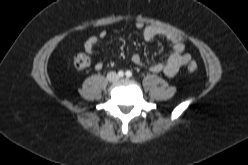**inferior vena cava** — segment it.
Masks as SVG:
<instances>
[{"instance_id": "inferior-vena-cava-1", "label": "inferior vena cava", "mask_w": 248, "mask_h": 165, "mask_svg": "<svg viewBox=\"0 0 248 165\" xmlns=\"http://www.w3.org/2000/svg\"><path fill=\"white\" fill-rule=\"evenodd\" d=\"M112 76H113V79H110V80H116L118 78L116 73H112Z\"/></svg>"}]
</instances>
